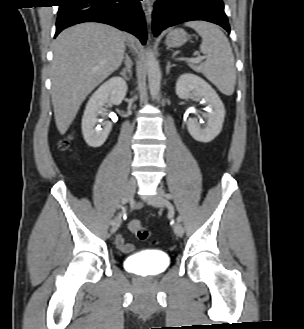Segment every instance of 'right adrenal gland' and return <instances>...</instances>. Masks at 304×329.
<instances>
[{
	"label": "right adrenal gland",
	"mask_w": 304,
	"mask_h": 329,
	"mask_svg": "<svg viewBox=\"0 0 304 329\" xmlns=\"http://www.w3.org/2000/svg\"><path fill=\"white\" fill-rule=\"evenodd\" d=\"M125 65H126V68H124L121 72H120V75L126 79V80H129L132 76V71H131V68H132V61L130 60V58L126 55V61H125Z\"/></svg>",
	"instance_id": "obj_1"
}]
</instances>
